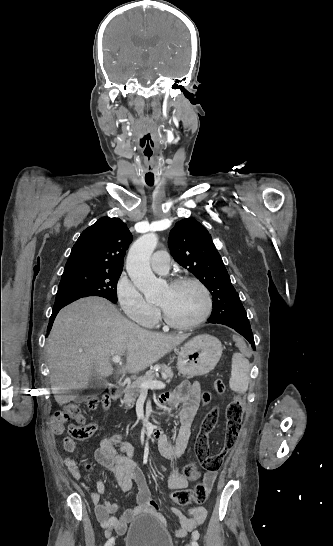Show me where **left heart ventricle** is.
<instances>
[{"label":"left heart ventricle","instance_id":"1","mask_svg":"<svg viewBox=\"0 0 333 546\" xmlns=\"http://www.w3.org/2000/svg\"><path fill=\"white\" fill-rule=\"evenodd\" d=\"M166 313L175 321L189 323L201 314L204 307V296L201 290L192 284L177 288L168 286L158 301Z\"/></svg>","mask_w":333,"mask_h":546}]
</instances>
